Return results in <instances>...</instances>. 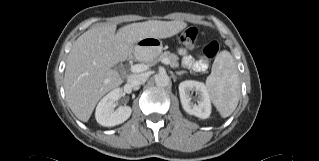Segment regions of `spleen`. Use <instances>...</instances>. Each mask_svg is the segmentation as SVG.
<instances>
[{
  "label": "spleen",
  "instance_id": "obj_1",
  "mask_svg": "<svg viewBox=\"0 0 319 161\" xmlns=\"http://www.w3.org/2000/svg\"><path fill=\"white\" fill-rule=\"evenodd\" d=\"M209 97L223 118L236 109L241 94L238 70L230 52L221 51L215 58L206 79Z\"/></svg>",
  "mask_w": 319,
  "mask_h": 161
}]
</instances>
